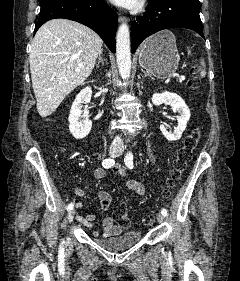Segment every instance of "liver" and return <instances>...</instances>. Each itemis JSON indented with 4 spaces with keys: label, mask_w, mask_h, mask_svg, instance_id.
I'll return each mask as SVG.
<instances>
[{
    "label": "liver",
    "mask_w": 240,
    "mask_h": 281,
    "mask_svg": "<svg viewBox=\"0 0 240 281\" xmlns=\"http://www.w3.org/2000/svg\"><path fill=\"white\" fill-rule=\"evenodd\" d=\"M102 39L90 28L67 19H52L37 31L29 57L36 107L51 115L64 98L91 74Z\"/></svg>",
    "instance_id": "liver-1"
}]
</instances>
